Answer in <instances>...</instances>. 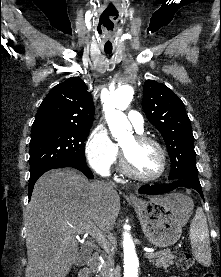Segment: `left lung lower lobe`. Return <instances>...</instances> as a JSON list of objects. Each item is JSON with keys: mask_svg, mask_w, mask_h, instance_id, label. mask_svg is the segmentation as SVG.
I'll list each match as a JSON object with an SVG mask.
<instances>
[{"mask_svg": "<svg viewBox=\"0 0 221 277\" xmlns=\"http://www.w3.org/2000/svg\"><path fill=\"white\" fill-rule=\"evenodd\" d=\"M178 187L195 189L203 197L202 188L199 181L193 182L185 179L174 180L167 185H144L140 187L139 192L142 194L155 195L170 192Z\"/></svg>", "mask_w": 221, "mask_h": 277, "instance_id": "left-lung-lower-lobe-1", "label": "left lung lower lobe"}]
</instances>
